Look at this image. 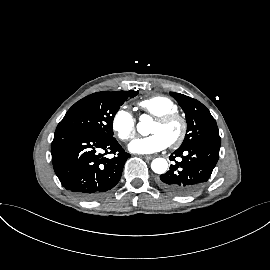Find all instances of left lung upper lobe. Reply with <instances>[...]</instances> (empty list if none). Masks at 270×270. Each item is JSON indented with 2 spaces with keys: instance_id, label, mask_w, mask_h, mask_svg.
<instances>
[{
  "instance_id": "1",
  "label": "left lung upper lobe",
  "mask_w": 270,
  "mask_h": 270,
  "mask_svg": "<svg viewBox=\"0 0 270 270\" xmlns=\"http://www.w3.org/2000/svg\"><path fill=\"white\" fill-rule=\"evenodd\" d=\"M186 115L187 134L180 148L195 144L220 146L221 140L215 119L198 100L186 95L170 92Z\"/></svg>"
}]
</instances>
